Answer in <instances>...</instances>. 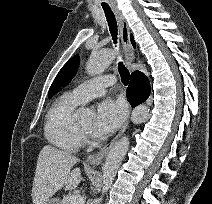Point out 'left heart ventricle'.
<instances>
[{"instance_id":"b2bd125f","label":"left heart ventricle","mask_w":212,"mask_h":204,"mask_svg":"<svg viewBox=\"0 0 212 204\" xmlns=\"http://www.w3.org/2000/svg\"><path fill=\"white\" fill-rule=\"evenodd\" d=\"M93 122H94V118L93 117H90V118H86L84 120H81L80 121V124L86 128V129H90L93 125Z\"/></svg>"}]
</instances>
